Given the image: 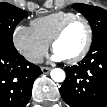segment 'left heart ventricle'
Wrapping results in <instances>:
<instances>
[{
  "label": "left heart ventricle",
  "instance_id": "obj_1",
  "mask_svg": "<svg viewBox=\"0 0 107 107\" xmlns=\"http://www.w3.org/2000/svg\"><path fill=\"white\" fill-rule=\"evenodd\" d=\"M87 41V28L82 21L73 22L61 39L55 44L54 51L64 59L76 56Z\"/></svg>",
  "mask_w": 107,
  "mask_h": 107
}]
</instances>
